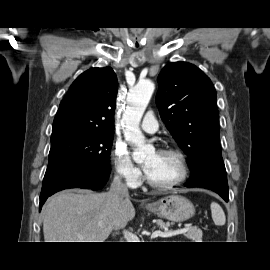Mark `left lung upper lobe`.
<instances>
[{
    "label": "left lung upper lobe",
    "mask_w": 270,
    "mask_h": 270,
    "mask_svg": "<svg viewBox=\"0 0 270 270\" xmlns=\"http://www.w3.org/2000/svg\"><path fill=\"white\" fill-rule=\"evenodd\" d=\"M158 83L161 119L188 155L190 178L212 164L224 165L216 90L209 77L191 63L173 62L161 70Z\"/></svg>",
    "instance_id": "1"
}]
</instances>
